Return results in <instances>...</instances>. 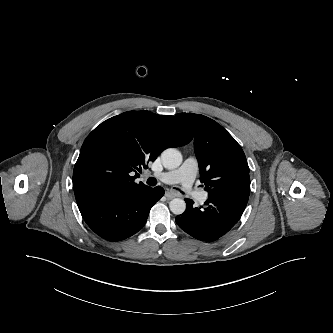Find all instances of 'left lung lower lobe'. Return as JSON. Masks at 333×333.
Wrapping results in <instances>:
<instances>
[{
    "mask_svg": "<svg viewBox=\"0 0 333 333\" xmlns=\"http://www.w3.org/2000/svg\"><path fill=\"white\" fill-rule=\"evenodd\" d=\"M208 192L205 208L193 207V200L185 199L187 209L175 221L192 237L214 241L227 233L242 216L250 193L249 175L226 180Z\"/></svg>",
    "mask_w": 333,
    "mask_h": 333,
    "instance_id": "1",
    "label": "left lung lower lobe"
}]
</instances>
